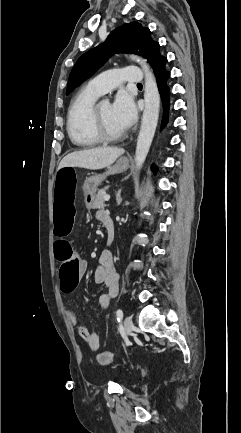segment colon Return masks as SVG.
Returning <instances> with one entry per match:
<instances>
[{
  "instance_id": "colon-1",
  "label": "colon",
  "mask_w": 241,
  "mask_h": 433,
  "mask_svg": "<svg viewBox=\"0 0 241 433\" xmlns=\"http://www.w3.org/2000/svg\"><path fill=\"white\" fill-rule=\"evenodd\" d=\"M75 174L74 164L58 165L55 175L56 181L53 182L55 193L52 220L56 234L61 237V239H56L54 250L61 263L58 275L62 277L61 289L64 292H71L75 289L80 268L79 258L72 250L69 239H64L70 233L73 224L72 216L75 215V208L73 207L76 186ZM113 358L114 355L110 352H101L97 356L101 365H109Z\"/></svg>"
}]
</instances>
